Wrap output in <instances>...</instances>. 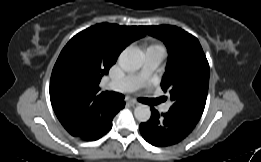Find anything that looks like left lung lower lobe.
Masks as SVG:
<instances>
[{"instance_id": "1", "label": "left lung lower lobe", "mask_w": 261, "mask_h": 162, "mask_svg": "<svg viewBox=\"0 0 261 162\" xmlns=\"http://www.w3.org/2000/svg\"><path fill=\"white\" fill-rule=\"evenodd\" d=\"M196 124V121L180 112L168 111L160 115L151 107V118L140 124V132L150 144L165 147L186 138Z\"/></svg>"}]
</instances>
